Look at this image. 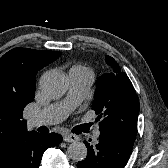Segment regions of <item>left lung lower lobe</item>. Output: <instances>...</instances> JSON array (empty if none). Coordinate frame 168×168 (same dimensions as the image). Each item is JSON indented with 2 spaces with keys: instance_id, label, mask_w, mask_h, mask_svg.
Returning <instances> with one entry per match:
<instances>
[{
  "instance_id": "obj_1",
  "label": "left lung lower lobe",
  "mask_w": 168,
  "mask_h": 168,
  "mask_svg": "<svg viewBox=\"0 0 168 168\" xmlns=\"http://www.w3.org/2000/svg\"><path fill=\"white\" fill-rule=\"evenodd\" d=\"M133 139L113 131H100L96 145L85 142L88 154L78 168H124L134 145Z\"/></svg>"
}]
</instances>
